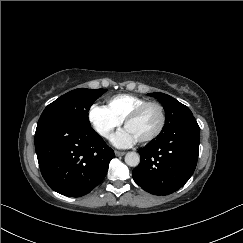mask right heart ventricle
<instances>
[{"label":"right heart ventricle","mask_w":243,"mask_h":243,"mask_svg":"<svg viewBox=\"0 0 243 243\" xmlns=\"http://www.w3.org/2000/svg\"><path fill=\"white\" fill-rule=\"evenodd\" d=\"M146 102V99L135 95L119 94L108 100V108L115 116L124 120L135 108Z\"/></svg>","instance_id":"e07e8e85"}]
</instances>
